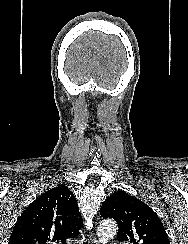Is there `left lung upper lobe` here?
I'll return each instance as SVG.
<instances>
[{
    "mask_svg": "<svg viewBox=\"0 0 188 244\" xmlns=\"http://www.w3.org/2000/svg\"><path fill=\"white\" fill-rule=\"evenodd\" d=\"M103 218L118 224L117 239L129 244H170L157 214L141 200L117 191L100 208Z\"/></svg>",
    "mask_w": 188,
    "mask_h": 244,
    "instance_id": "left-lung-upper-lobe-1",
    "label": "left lung upper lobe"
}]
</instances>
